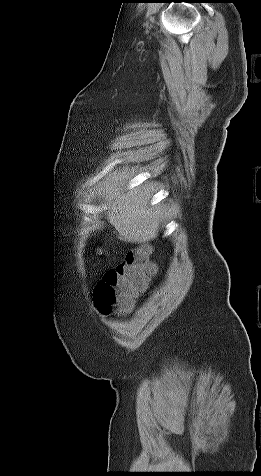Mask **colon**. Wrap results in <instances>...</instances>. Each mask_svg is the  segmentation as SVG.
<instances>
[{
  "label": "colon",
  "mask_w": 261,
  "mask_h": 476,
  "mask_svg": "<svg viewBox=\"0 0 261 476\" xmlns=\"http://www.w3.org/2000/svg\"><path fill=\"white\" fill-rule=\"evenodd\" d=\"M150 253L147 245L130 250L123 263L105 273L95 289L101 312L124 314L132 309L136 295L146 289L148 280L155 273Z\"/></svg>",
  "instance_id": "1"
}]
</instances>
